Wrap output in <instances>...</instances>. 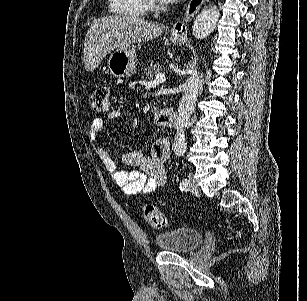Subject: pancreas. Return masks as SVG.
Returning <instances> with one entry per match:
<instances>
[{
	"instance_id": "cf45deb5",
	"label": "pancreas",
	"mask_w": 307,
	"mask_h": 301,
	"mask_svg": "<svg viewBox=\"0 0 307 301\" xmlns=\"http://www.w3.org/2000/svg\"><path fill=\"white\" fill-rule=\"evenodd\" d=\"M162 66L163 64H156V62L153 64V62H151L150 66L145 68V80H153L154 74H159V72L163 70Z\"/></svg>"
}]
</instances>
